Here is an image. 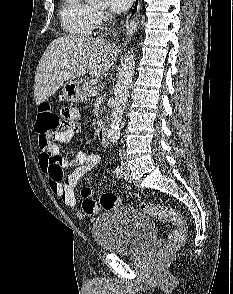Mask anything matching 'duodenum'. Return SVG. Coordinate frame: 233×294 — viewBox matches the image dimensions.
<instances>
[{"label": "duodenum", "instance_id": "obj_1", "mask_svg": "<svg viewBox=\"0 0 233 294\" xmlns=\"http://www.w3.org/2000/svg\"><path fill=\"white\" fill-rule=\"evenodd\" d=\"M98 139L103 146L109 145V134L108 129L106 127H101L98 131Z\"/></svg>", "mask_w": 233, "mask_h": 294}]
</instances>
